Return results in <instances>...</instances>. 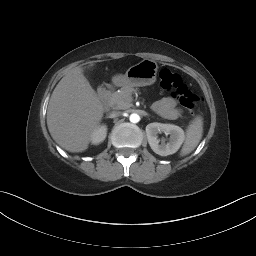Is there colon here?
<instances>
[{
  "mask_svg": "<svg viewBox=\"0 0 256 256\" xmlns=\"http://www.w3.org/2000/svg\"><path fill=\"white\" fill-rule=\"evenodd\" d=\"M159 83L163 90L172 92L186 109L192 110L199 105L200 98L188 89L177 73L170 69L163 68L160 70Z\"/></svg>",
  "mask_w": 256,
  "mask_h": 256,
  "instance_id": "colon-1",
  "label": "colon"
}]
</instances>
